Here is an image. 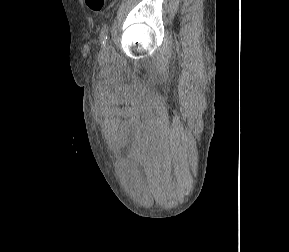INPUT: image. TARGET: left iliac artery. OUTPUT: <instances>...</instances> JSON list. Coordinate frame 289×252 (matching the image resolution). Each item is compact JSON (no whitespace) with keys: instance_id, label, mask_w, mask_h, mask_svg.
Returning a JSON list of instances; mask_svg holds the SVG:
<instances>
[{"instance_id":"44dca946","label":"left iliac artery","mask_w":289,"mask_h":252,"mask_svg":"<svg viewBox=\"0 0 289 252\" xmlns=\"http://www.w3.org/2000/svg\"><path fill=\"white\" fill-rule=\"evenodd\" d=\"M108 33H109V25L108 23H105L101 29V32H100V42L103 46L106 45V42H107V38H108Z\"/></svg>"}]
</instances>
